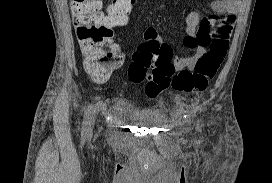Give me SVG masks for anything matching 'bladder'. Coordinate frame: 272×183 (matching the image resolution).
<instances>
[{"mask_svg": "<svg viewBox=\"0 0 272 183\" xmlns=\"http://www.w3.org/2000/svg\"><path fill=\"white\" fill-rule=\"evenodd\" d=\"M141 121L149 122V121H151V120H149V119H144V120H141Z\"/></svg>", "mask_w": 272, "mask_h": 183, "instance_id": "1", "label": "bladder"}]
</instances>
